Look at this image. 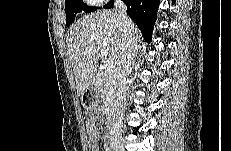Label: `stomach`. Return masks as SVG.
I'll list each match as a JSON object with an SVG mask.
<instances>
[{"instance_id":"stomach-1","label":"stomach","mask_w":231,"mask_h":151,"mask_svg":"<svg viewBox=\"0 0 231 151\" xmlns=\"http://www.w3.org/2000/svg\"><path fill=\"white\" fill-rule=\"evenodd\" d=\"M91 96V98H88ZM97 98V90L94 87H90L89 93L82 97L83 105L92 106Z\"/></svg>"}]
</instances>
